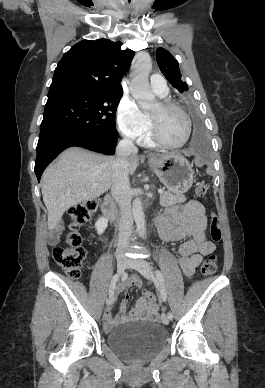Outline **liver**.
Here are the masks:
<instances>
[{"mask_svg":"<svg viewBox=\"0 0 265 388\" xmlns=\"http://www.w3.org/2000/svg\"><path fill=\"white\" fill-rule=\"evenodd\" d=\"M113 160L83 148H68L60 154L55 164L46 168L42 176V196L48 210L50 232L60 224L66 210L108 192L113 180ZM128 162L129 174H134L139 162L138 156L131 154Z\"/></svg>","mask_w":265,"mask_h":388,"instance_id":"6515ba94","label":"liver"}]
</instances>
